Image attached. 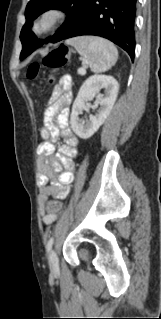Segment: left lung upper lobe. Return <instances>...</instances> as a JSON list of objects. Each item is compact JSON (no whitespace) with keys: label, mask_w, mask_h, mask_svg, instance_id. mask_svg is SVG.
<instances>
[{"label":"left lung upper lobe","mask_w":161,"mask_h":319,"mask_svg":"<svg viewBox=\"0 0 161 319\" xmlns=\"http://www.w3.org/2000/svg\"><path fill=\"white\" fill-rule=\"evenodd\" d=\"M91 0H30L26 6V23L22 28L20 39L23 45L21 54L28 49L38 48L43 43H56L61 41L73 28L76 22L83 16ZM49 9L63 10L67 15V20L54 36L46 41L37 40L34 33L30 30L32 21L41 13Z\"/></svg>","instance_id":"obj_1"}]
</instances>
